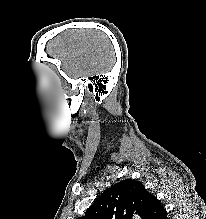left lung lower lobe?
I'll use <instances>...</instances> for the list:
<instances>
[{"instance_id": "0a47b994", "label": "left lung lower lobe", "mask_w": 206, "mask_h": 219, "mask_svg": "<svg viewBox=\"0 0 206 219\" xmlns=\"http://www.w3.org/2000/svg\"><path fill=\"white\" fill-rule=\"evenodd\" d=\"M147 219H168L166 210L159 203L158 199L154 196L151 200V209Z\"/></svg>"}]
</instances>
